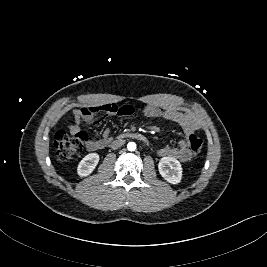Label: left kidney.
<instances>
[{
	"instance_id": "1",
	"label": "left kidney",
	"mask_w": 267,
	"mask_h": 267,
	"mask_svg": "<svg viewBox=\"0 0 267 267\" xmlns=\"http://www.w3.org/2000/svg\"><path fill=\"white\" fill-rule=\"evenodd\" d=\"M160 175L171 184H178L182 179V166L174 157H163L159 161Z\"/></svg>"
}]
</instances>
